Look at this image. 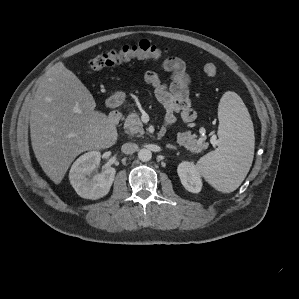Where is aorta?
Instances as JSON below:
<instances>
[{
	"instance_id": "1",
	"label": "aorta",
	"mask_w": 299,
	"mask_h": 299,
	"mask_svg": "<svg viewBox=\"0 0 299 299\" xmlns=\"http://www.w3.org/2000/svg\"><path fill=\"white\" fill-rule=\"evenodd\" d=\"M138 158L143 162H147V161L151 160L152 152L146 148L140 149L138 152Z\"/></svg>"
}]
</instances>
